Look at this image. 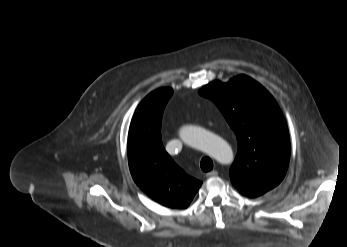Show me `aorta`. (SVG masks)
<instances>
[{
	"label": "aorta",
	"mask_w": 347,
	"mask_h": 247,
	"mask_svg": "<svg viewBox=\"0 0 347 247\" xmlns=\"http://www.w3.org/2000/svg\"><path fill=\"white\" fill-rule=\"evenodd\" d=\"M179 136L189 146L204 151L220 163L227 164L233 159L230 145L218 135L204 128L185 125L181 127Z\"/></svg>",
	"instance_id": "1"
}]
</instances>
